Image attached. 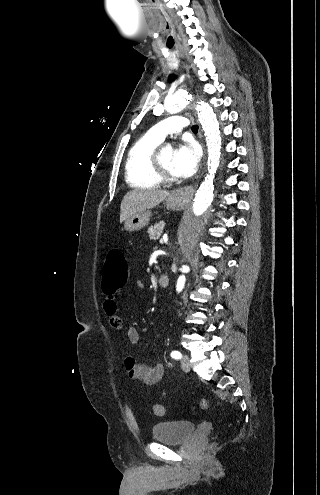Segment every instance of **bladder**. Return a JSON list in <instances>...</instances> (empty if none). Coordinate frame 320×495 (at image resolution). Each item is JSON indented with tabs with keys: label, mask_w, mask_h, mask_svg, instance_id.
Here are the masks:
<instances>
[{
	"label": "bladder",
	"mask_w": 320,
	"mask_h": 495,
	"mask_svg": "<svg viewBox=\"0 0 320 495\" xmlns=\"http://www.w3.org/2000/svg\"><path fill=\"white\" fill-rule=\"evenodd\" d=\"M196 430V424L188 420L156 423L151 430L154 440L166 444H180L188 440Z\"/></svg>",
	"instance_id": "bladder-1"
}]
</instances>
